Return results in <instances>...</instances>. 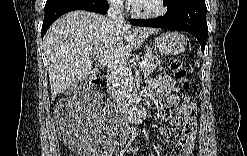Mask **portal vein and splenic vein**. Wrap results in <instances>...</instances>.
<instances>
[{"label": "portal vein and splenic vein", "instance_id": "obj_1", "mask_svg": "<svg viewBox=\"0 0 247 156\" xmlns=\"http://www.w3.org/2000/svg\"><path fill=\"white\" fill-rule=\"evenodd\" d=\"M98 61H99L100 65L108 68L111 72H113L115 74L132 76L131 70L125 65L118 64V63H112V62L107 61L105 59H99Z\"/></svg>", "mask_w": 247, "mask_h": 156}]
</instances>
